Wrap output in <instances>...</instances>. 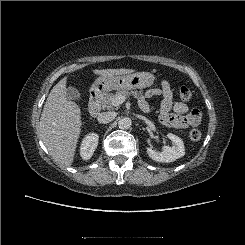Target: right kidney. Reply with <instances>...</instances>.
I'll return each mask as SVG.
<instances>
[{"label":"right kidney","instance_id":"ca27d5eb","mask_svg":"<svg viewBox=\"0 0 245 245\" xmlns=\"http://www.w3.org/2000/svg\"><path fill=\"white\" fill-rule=\"evenodd\" d=\"M99 136L96 133L88 134L82 141L80 155L82 159L88 160L92 157L98 145Z\"/></svg>","mask_w":245,"mask_h":245}]
</instances>
